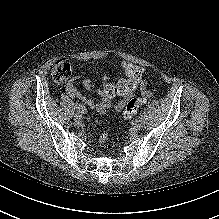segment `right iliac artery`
<instances>
[{
	"label": "right iliac artery",
	"instance_id": "82829eb1",
	"mask_svg": "<svg viewBox=\"0 0 219 219\" xmlns=\"http://www.w3.org/2000/svg\"><path fill=\"white\" fill-rule=\"evenodd\" d=\"M75 108L79 111H81L82 113H85V108L84 106L80 105V104H76Z\"/></svg>",
	"mask_w": 219,
	"mask_h": 219
}]
</instances>
